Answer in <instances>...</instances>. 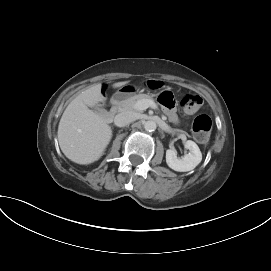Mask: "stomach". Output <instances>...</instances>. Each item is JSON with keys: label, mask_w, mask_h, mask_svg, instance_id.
<instances>
[{"label": "stomach", "mask_w": 271, "mask_h": 271, "mask_svg": "<svg viewBox=\"0 0 271 271\" xmlns=\"http://www.w3.org/2000/svg\"><path fill=\"white\" fill-rule=\"evenodd\" d=\"M136 88L132 85H124L120 87L113 96L114 101H119L133 95Z\"/></svg>", "instance_id": "1"}]
</instances>
